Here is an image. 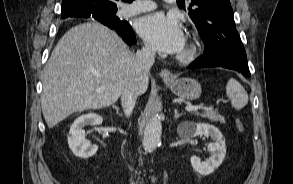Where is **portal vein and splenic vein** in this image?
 I'll list each match as a JSON object with an SVG mask.
<instances>
[{
	"label": "portal vein and splenic vein",
	"mask_w": 293,
	"mask_h": 184,
	"mask_svg": "<svg viewBox=\"0 0 293 184\" xmlns=\"http://www.w3.org/2000/svg\"><path fill=\"white\" fill-rule=\"evenodd\" d=\"M101 91H102V89H97L96 90V92H101ZM202 108L203 107L201 105H199V106H187L185 109L187 111H197V110L202 109Z\"/></svg>",
	"instance_id": "18ae733b"
}]
</instances>
